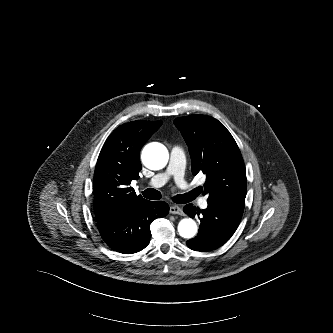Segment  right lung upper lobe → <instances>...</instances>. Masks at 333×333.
Segmentation results:
<instances>
[{
    "mask_svg": "<svg viewBox=\"0 0 333 333\" xmlns=\"http://www.w3.org/2000/svg\"><path fill=\"white\" fill-rule=\"evenodd\" d=\"M162 125V121H133L119 126L107 138L94 173V206L120 204L125 208L144 200L130 187L139 178V153L144 143ZM106 215L96 213V218Z\"/></svg>",
    "mask_w": 333,
    "mask_h": 333,
    "instance_id": "cb5924a9",
    "label": "right lung upper lobe"
}]
</instances>
